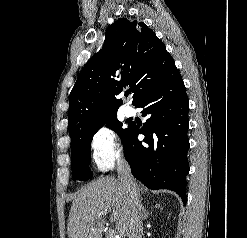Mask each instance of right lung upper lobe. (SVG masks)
Here are the masks:
<instances>
[{"mask_svg":"<svg viewBox=\"0 0 247 238\" xmlns=\"http://www.w3.org/2000/svg\"><path fill=\"white\" fill-rule=\"evenodd\" d=\"M175 68L165 45L143 22L120 18L105 33L102 50L81 70L70 93L68 126L71 144L92 127L116 116L123 88L132 104L160 85Z\"/></svg>","mask_w":247,"mask_h":238,"instance_id":"cb5924a9","label":"right lung upper lobe"}]
</instances>
